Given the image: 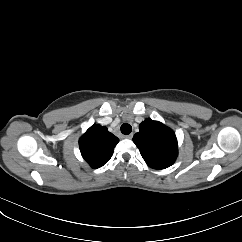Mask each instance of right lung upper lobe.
<instances>
[{
	"label": "right lung upper lobe",
	"mask_w": 242,
	"mask_h": 242,
	"mask_svg": "<svg viewBox=\"0 0 242 242\" xmlns=\"http://www.w3.org/2000/svg\"><path fill=\"white\" fill-rule=\"evenodd\" d=\"M119 139L105 126L94 124L79 139L82 157L92 168H99L112 157Z\"/></svg>",
	"instance_id": "right-lung-upper-lobe-1"
}]
</instances>
